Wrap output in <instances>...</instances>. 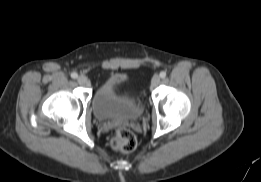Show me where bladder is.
<instances>
[{"label":"bladder","instance_id":"1","mask_svg":"<svg viewBox=\"0 0 261 182\" xmlns=\"http://www.w3.org/2000/svg\"><path fill=\"white\" fill-rule=\"evenodd\" d=\"M125 77L111 74L97 87L93 99L94 116L100 121H129L139 116L143 103L129 90L120 89Z\"/></svg>","mask_w":261,"mask_h":182}]
</instances>
